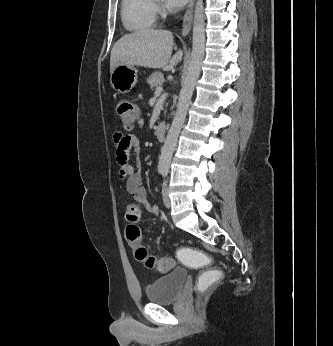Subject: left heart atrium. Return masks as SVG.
Segmentation results:
<instances>
[{
	"label": "left heart atrium",
	"instance_id": "left-heart-atrium-1",
	"mask_svg": "<svg viewBox=\"0 0 333 346\" xmlns=\"http://www.w3.org/2000/svg\"><path fill=\"white\" fill-rule=\"evenodd\" d=\"M163 1H164L165 7L168 10L175 11L185 6L188 0H163Z\"/></svg>",
	"mask_w": 333,
	"mask_h": 346
}]
</instances>
